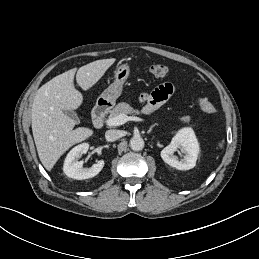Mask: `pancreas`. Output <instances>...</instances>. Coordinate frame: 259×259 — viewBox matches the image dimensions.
I'll list each match as a JSON object with an SVG mask.
<instances>
[{
    "mask_svg": "<svg viewBox=\"0 0 259 259\" xmlns=\"http://www.w3.org/2000/svg\"><path fill=\"white\" fill-rule=\"evenodd\" d=\"M139 114V110L133 109L128 103L121 102L115 106V108L110 112L109 118L116 117L120 114ZM179 120L183 123L188 122V118L186 116L180 117Z\"/></svg>",
    "mask_w": 259,
    "mask_h": 259,
    "instance_id": "pancreas-1",
    "label": "pancreas"
}]
</instances>
